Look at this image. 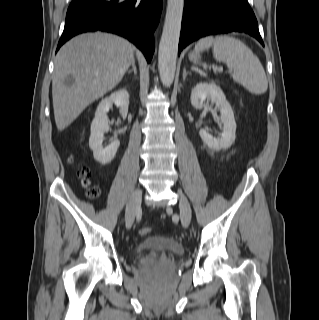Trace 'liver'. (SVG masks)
<instances>
[{
    "label": "liver",
    "instance_id": "1",
    "mask_svg": "<svg viewBox=\"0 0 319 320\" xmlns=\"http://www.w3.org/2000/svg\"><path fill=\"white\" fill-rule=\"evenodd\" d=\"M133 59L132 44L109 33H85L64 44L52 79L57 129L67 128L89 104L116 87ZM68 76L74 79L70 86L65 84Z\"/></svg>",
    "mask_w": 319,
    "mask_h": 320
}]
</instances>
